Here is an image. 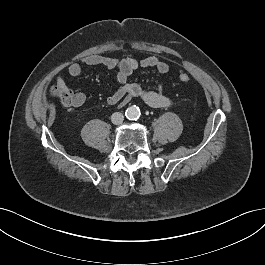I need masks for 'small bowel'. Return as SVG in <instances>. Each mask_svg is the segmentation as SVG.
<instances>
[{
	"label": "small bowel",
	"instance_id": "small-bowel-1",
	"mask_svg": "<svg viewBox=\"0 0 265 265\" xmlns=\"http://www.w3.org/2000/svg\"><path fill=\"white\" fill-rule=\"evenodd\" d=\"M81 63L87 66H103L107 69H116V80L118 83L117 89L108 96L107 102L110 105L120 104L127 105L132 98H139L146 104L164 108L172 104V100L165 95L162 84H159L155 89H146L136 83L128 81L129 76L138 68H155L159 73L166 74L170 70L169 64L160 56L152 55L142 59L126 57L116 59L98 54L85 56ZM70 76L78 77L82 74V67L78 63H71L67 67ZM56 85L61 89H67V86L61 76L56 78ZM86 100V96L82 92H76L72 96L71 106L74 108L81 107Z\"/></svg>",
	"mask_w": 265,
	"mask_h": 265
}]
</instances>
